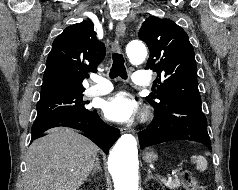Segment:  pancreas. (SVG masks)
I'll list each match as a JSON object with an SVG mask.
<instances>
[{"instance_id": "pancreas-1", "label": "pancreas", "mask_w": 238, "mask_h": 190, "mask_svg": "<svg viewBox=\"0 0 238 190\" xmlns=\"http://www.w3.org/2000/svg\"><path fill=\"white\" fill-rule=\"evenodd\" d=\"M161 181L166 187H168L170 189H176V188L181 186L180 181H179L178 178H174V179L170 178L168 180L162 179Z\"/></svg>"}]
</instances>
